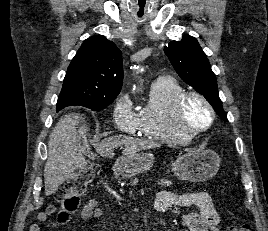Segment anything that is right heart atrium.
Here are the masks:
<instances>
[{
  "mask_svg": "<svg viewBox=\"0 0 268 231\" xmlns=\"http://www.w3.org/2000/svg\"><path fill=\"white\" fill-rule=\"evenodd\" d=\"M112 115L118 129L134 134L139 127L138 112L133 107L129 93H122L114 103Z\"/></svg>",
  "mask_w": 268,
  "mask_h": 231,
  "instance_id": "right-heart-atrium-1",
  "label": "right heart atrium"
}]
</instances>
